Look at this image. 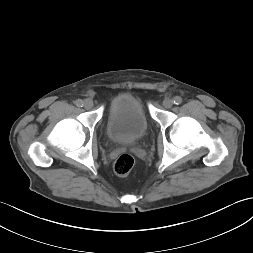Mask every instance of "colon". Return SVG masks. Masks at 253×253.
Returning <instances> with one entry per match:
<instances>
[{"mask_svg":"<svg viewBox=\"0 0 253 253\" xmlns=\"http://www.w3.org/2000/svg\"><path fill=\"white\" fill-rule=\"evenodd\" d=\"M135 160L130 154L120 155L114 163V171L120 177L128 176L133 170Z\"/></svg>","mask_w":253,"mask_h":253,"instance_id":"5ec220e1","label":"colon"}]
</instances>
